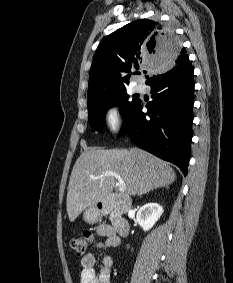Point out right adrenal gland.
Listing matches in <instances>:
<instances>
[{
	"mask_svg": "<svg viewBox=\"0 0 233 283\" xmlns=\"http://www.w3.org/2000/svg\"><path fill=\"white\" fill-rule=\"evenodd\" d=\"M145 193H146V192H143V193H139V194H138V196H141V195H143V194H145Z\"/></svg>",
	"mask_w": 233,
	"mask_h": 283,
	"instance_id": "right-adrenal-gland-1",
	"label": "right adrenal gland"
}]
</instances>
